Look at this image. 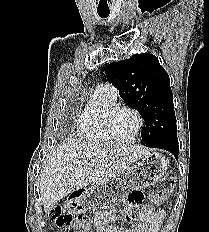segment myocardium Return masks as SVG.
Masks as SVG:
<instances>
[{"instance_id": "f54148a6", "label": "myocardium", "mask_w": 209, "mask_h": 232, "mask_svg": "<svg viewBox=\"0 0 209 232\" xmlns=\"http://www.w3.org/2000/svg\"><path fill=\"white\" fill-rule=\"evenodd\" d=\"M122 111L131 112L137 121V126H136L134 133L130 137L125 138V139L116 138L113 135L112 129H111V123H112L113 119ZM103 126H104V133L110 142L129 143V142L133 141L136 138V136L138 135V133L141 131L142 126H143V119H142V116L140 115V113L135 108H133L131 106H126V105H116V106L112 107L111 109H109L107 111V113L105 114Z\"/></svg>"}]
</instances>
